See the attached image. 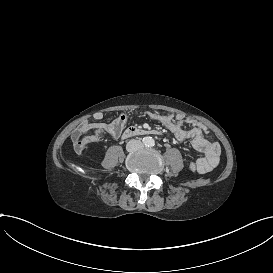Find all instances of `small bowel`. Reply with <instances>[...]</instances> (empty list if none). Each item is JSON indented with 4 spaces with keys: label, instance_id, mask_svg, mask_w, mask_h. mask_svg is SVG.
Returning a JSON list of instances; mask_svg holds the SVG:
<instances>
[{
    "label": "small bowel",
    "instance_id": "small-bowel-1",
    "mask_svg": "<svg viewBox=\"0 0 273 273\" xmlns=\"http://www.w3.org/2000/svg\"><path fill=\"white\" fill-rule=\"evenodd\" d=\"M145 116L152 121L160 123L177 140H191L193 148L204 155V158L196 162L198 164L196 170L199 173L205 174L217 166L221 153L220 145L205 136L206 128L197 120L179 113H146ZM103 117L104 114L102 112H96L93 115L94 126L88 131L87 136L90 139L86 141L87 143L97 141L103 133L118 138L129 123V116L126 113H120L113 121L108 123L102 121Z\"/></svg>",
    "mask_w": 273,
    "mask_h": 273
}]
</instances>
